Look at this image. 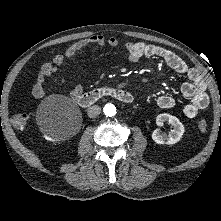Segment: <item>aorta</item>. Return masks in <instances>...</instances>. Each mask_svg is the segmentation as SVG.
<instances>
[{"label":"aorta","mask_w":221,"mask_h":221,"mask_svg":"<svg viewBox=\"0 0 221 221\" xmlns=\"http://www.w3.org/2000/svg\"><path fill=\"white\" fill-rule=\"evenodd\" d=\"M105 115L112 117L116 114V108L112 104H107L104 108Z\"/></svg>","instance_id":"obj_1"}]
</instances>
